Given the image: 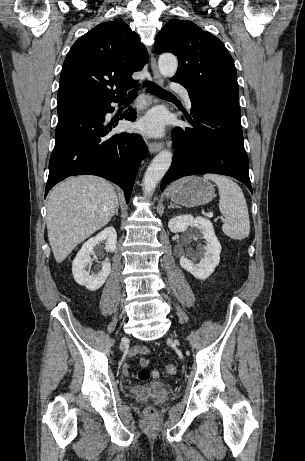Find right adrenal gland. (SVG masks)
I'll list each match as a JSON object with an SVG mask.
<instances>
[{
	"label": "right adrenal gland",
	"instance_id": "1",
	"mask_svg": "<svg viewBox=\"0 0 305 461\" xmlns=\"http://www.w3.org/2000/svg\"><path fill=\"white\" fill-rule=\"evenodd\" d=\"M118 209H119V204L117 205L116 210H115L114 214L112 215L113 217L118 216Z\"/></svg>",
	"mask_w": 305,
	"mask_h": 461
}]
</instances>
